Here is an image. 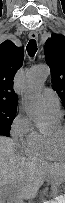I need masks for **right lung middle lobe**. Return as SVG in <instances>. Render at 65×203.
Wrapping results in <instances>:
<instances>
[{
	"mask_svg": "<svg viewBox=\"0 0 65 203\" xmlns=\"http://www.w3.org/2000/svg\"><path fill=\"white\" fill-rule=\"evenodd\" d=\"M17 106L0 104V135L9 136L10 127L16 115Z\"/></svg>",
	"mask_w": 65,
	"mask_h": 203,
	"instance_id": "right-lung-middle-lobe-1",
	"label": "right lung middle lobe"
}]
</instances>
